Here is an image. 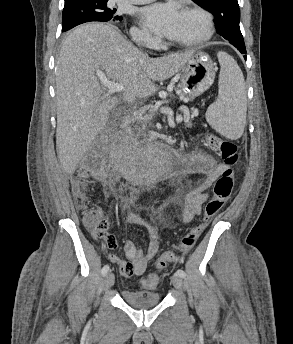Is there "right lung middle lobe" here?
<instances>
[{
    "label": "right lung middle lobe",
    "mask_w": 293,
    "mask_h": 344,
    "mask_svg": "<svg viewBox=\"0 0 293 344\" xmlns=\"http://www.w3.org/2000/svg\"><path fill=\"white\" fill-rule=\"evenodd\" d=\"M109 0H77L65 3L62 14V31L90 21H118L116 9L108 7Z\"/></svg>",
    "instance_id": "right-lung-middle-lobe-1"
}]
</instances>
